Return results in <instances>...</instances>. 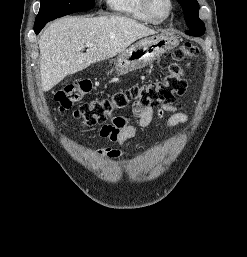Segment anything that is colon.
I'll return each mask as SVG.
<instances>
[{
  "label": "colon",
  "instance_id": "5ec220e1",
  "mask_svg": "<svg viewBox=\"0 0 247 257\" xmlns=\"http://www.w3.org/2000/svg\"><path fill=\"white\" fill-rule=\"evenodd\" d=\"M199 55L196 45L185 42L172 55V61L167 65L165 76L158 81L134 85L125 91L91 100L81 104L75 111V118L86 127L105 125L108 120L118 119L117 113L125 110L131 102L143 107H156L164 104L175 95H182L187 89L184 78L183 61H192ZM92 84L88 80H79L55 94L59 110H70L75 104L81 103L91 93Z\"/></svg>",
  "mask_w": 247,
  "mask_h": 257
}]
</instances>
